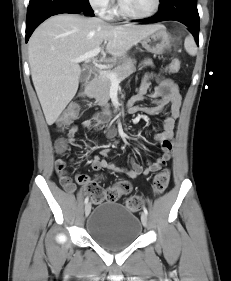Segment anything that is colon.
Listing matches in <instances>:
<instances>
[{
    "label": "colon",
    "instance_id": "1",
    "mask_svg": "<svg viewBox=\"0 0 231 281\" xmlns=\"http://www.w3.org/2000/svg\"><path fill=\"white\" fill-rule=\"evenodd\" d=\"M181 63L178 59H173L170 63L166 66V71L168 73L174 74L180 70ZM79 106L77 104H71L67 107L64 113L59 118L58 124L60 126H66L69 124L78 114ZM66 149V143L64 140L60 139L56 143V150L59 153H63ZM170 179V172L168 169L161 170L158 172L153 179L152 183V191L155 195L162 194L168 184ZM131 189V185L128 181L122 180L118 183L110 186L108 189L103 190L102 187L99 185L98 182H90L86 186V191L90 194L91 200L94 203H99L105 199L110 201H116L121 198L123 195L128 193ZM126 207L136 212L140 210L142 206V198L139 196H132L125 202Z\"/></svg>",
    "mask_w": 231,
    "mask_h": 281
}]
</instances>
